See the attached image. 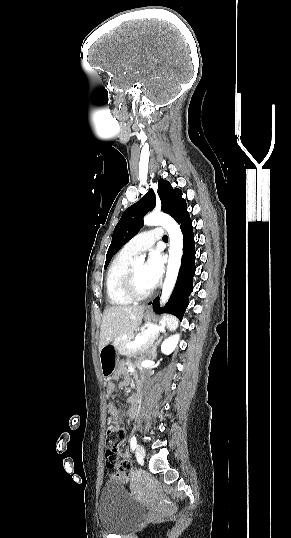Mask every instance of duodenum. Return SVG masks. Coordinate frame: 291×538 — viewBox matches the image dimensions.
<instances>
[{
  "instance_id": "duodenum-1",
  "label": "duodenum",
  "mask_w": 291,
  "mask_h": 538,
  "mask_svg": "<svg viewBox=\"0 0 291 538\" xmlns=\"http://www.w3.org/2000/svg\"><path fill=\"white\" fill-rule=\"evenodd\" d=\"M145 377V374L143 372H136L134 374V382H137L136 383V386L138 388H141L143 386V378Z\"/></svg>"
}]
</instances>
